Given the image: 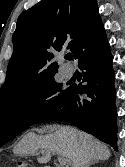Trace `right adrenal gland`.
<instances>
[{
	"mask_svg": "<svg viewBox=\"0 0 125 167\" xmlns=\"http://www.w3.org/2000/svg\"><path fill=\"white\" fill-rule=\"evenodd\" d=\"M98 161H91L90 163H88L85 167H90L92 164L96 163Z\"/></svg>",
	"mask_w": 125,
	"mask_h": 167,
	"instance_id": "obj_1",
	"label": "right adrenal gland"
}]
</instances>
